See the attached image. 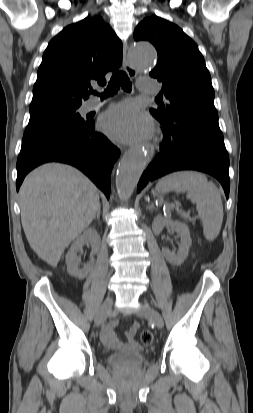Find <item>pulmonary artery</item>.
<instances>
[{
	"instance_id": "obj_1",
	"label": "pulmonary artery",
	"mask_w": 253,
	"mask_h": 413,
	"mask_svg": "<svg viewBox=\"0 0 253 413\" xmlns=\"http://www.w3.org/2000/svg\"><path fill=\"white\" fill-rule=\"evenodd\" d=\"M140 90L146 93H156L158 91V87L154 82L150 81L144 85H141ZM105 102L106 101H101L99 98L91 99L85 103L84 110L92 111L101 106Z\"/></svg>"
}]
</instances>
